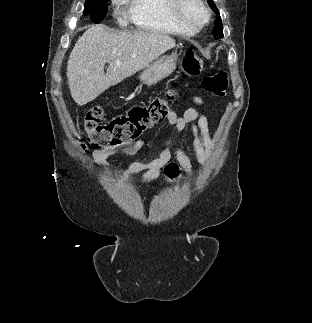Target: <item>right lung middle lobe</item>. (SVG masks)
I'll return each instance as SVG.
<instances>
[{"label":"right lung middle lobe","mask_w":312,"mask_h":323,"mask_svg":"<svg viewBox=\"0 0 312 323\" xmlns=\"http://www.w3.org/2000/svg\"><path fill=\"white\" fill-rule=\"evenodd\" d=\"M108 0H86L83 15H90L95 23H100L107 13Z\"/></svg>","instance_id":"right-lung-middle-lobe-1"}]
</instances>
